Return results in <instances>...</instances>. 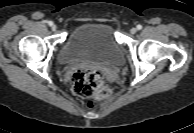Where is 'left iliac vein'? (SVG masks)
Segmentation results:
<instances>
[{"label": "left iliac vein", "instance_id": "4c4485c4", "mask_svg": "<svg viewBox=\"0 0 194 133\" xmlns=\"http://www.w3.org/2000/svg\"><path fill=\"white\" fill-rule=\"evenodd\" d=\"M130 32H131L132 34H135V33L137 32V29H136V28H132V29L130 30Z\"/></svg>", "mask_w": 194, "mask_h": 133}]
</instances>
